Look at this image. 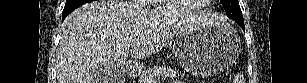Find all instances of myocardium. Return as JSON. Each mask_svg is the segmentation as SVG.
<instances>
[{
  "label": "myocardium",
  "mask_w": 307,
  "mask_h": 83,
  "mask_svg": "<svg viewBox=\"0 0 307 83\" xmlns=\"http://www.w3.org/2000/svg\"><path fill=\"white\" fill-rule=\"evenodd\" d=\"M205 2H209V1H205ZM166 5H168L169 7H172L174 12L177 13V14H180V15L193 14V13L201 11L205 7L204 4H199V5H196L195 7L191 8L189 10H181L176 6L175 0H167Z\"/></svg>",
  "instance_id": "myocardium-1"
}]
</instances>
